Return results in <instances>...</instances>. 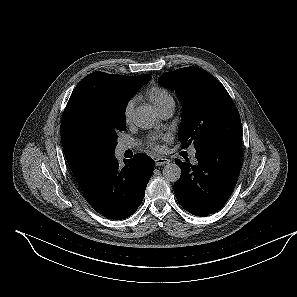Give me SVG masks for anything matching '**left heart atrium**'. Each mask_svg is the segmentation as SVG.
<instances>
[{
  "label": "left heart atrium",
  "instance_id": "left-heart-atrium-1",
  "mask_svg": "<svg viewBox=\"0 0 297 297\" xmlns=\"http://www.w3.org/2000/svg\"><path fill=\"white\" fill-rule=\"evenodd\" d=\"M151 146L155 149H158V144L156 143L155 139L151 142Z\"/></svg>",
  "mask_w": 297,
  "mask_h": 297
}]
</instances>
